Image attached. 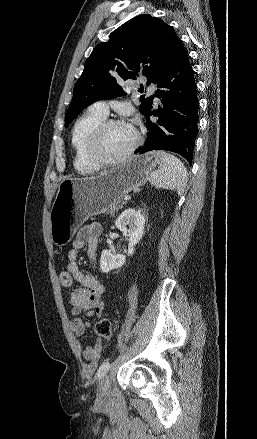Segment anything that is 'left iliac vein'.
<instances>
[{
	"instance_id": "left-iliac-vein-1",
	"label": "left iliac vein",
	"mask_w": 257,
	"mask_h": 439,
	"mask_svg": "<svg viewBox=\"0 0 257 439\" xmlns=\"http://www.w3.org/2000/svg\"><path fill=\"white\" fill-rule=\"evenodd\" d=\"M110 398V377L105 375L102 377L97 393V402L102 404L106 403Z\"/></svg>"
}]
</instances>
